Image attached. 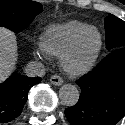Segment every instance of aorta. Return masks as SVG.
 <instances>
[{"instance_id":"aorta-1","label":"aorta","mask_w":125,"mask_h":125,"mask_svg":"<svg viewBox=\"0 0 125 125\" xmlns=\"http://www.w3.org/2000/svg\"><path fill=\"white\" fill-rule=\"evenodd\" d=\"M61 102L66 106H74L79 100V90L75 85L65 84L59 90Z\"/></svg>"}]
</instances>
